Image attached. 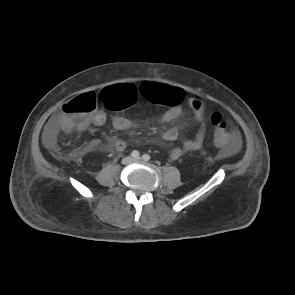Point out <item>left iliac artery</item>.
Wrapping results in <instances>:
<instances>
[{
    "label": "left iliac artery",
    "instance_id": "1",
    "mask_svg": "<svg viewBox=\"0 0 295 295\" xmlns=\"http://www.w3.org/2000/svg\"><path fill=\"white\" fill-rule=\"evenodd\" d=\"M143 160H144V161H149V160H150V155H148V154H144V155H143Z\"/></svg>",
    "mask_w": 295,
    "mask_h": 295
}]
</instances>
